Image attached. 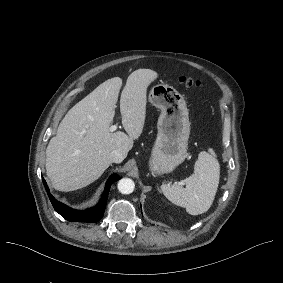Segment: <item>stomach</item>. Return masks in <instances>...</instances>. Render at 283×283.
<instances>
[{"mask_svg": "<svg viewBox=\"0 0 283 283\" xmlns=\"http://www.w3.org/2000/svg\"><path fill=\"white\" fill-rule=\"evenodd\" d=\"M148 102L161 110L151 166L155 172H170L186 158L190 133L187 104L174 87L164 83L150 88Z\"/></svg>", "mask_w": 283, "mask_h": 283, "instance_id": "stomach-1", "label": "stomach"}]
</instances>
